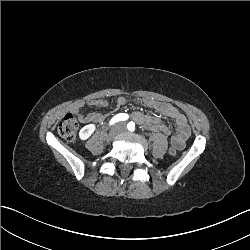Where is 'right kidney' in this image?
<instances>
[{
	"instance_id": "right-kidney-1",
	"label": "right kidney",
	"mask_w": 250,
	"mask_h": 250,
	"mask_svg": "<svg viewBox=\"0 0 250 250\" xmlns=\"http://www.w3.org/2000/svg\"><path fill=\"white\" fill-rule=\"evenodd\" d=\"M94 126L93 125H87L83 127L80 131V136L82 139H85L89 137V135L93 132Z\"/></svg>"
}]
</instances>
